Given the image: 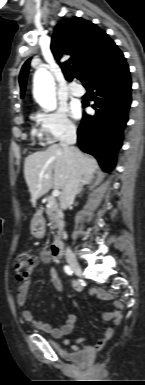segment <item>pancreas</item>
Segmentation results:
<instances>
[{
    "label": "pancreas",
    "mask_w": 145,
    "mask_h": 385,
    "mask_svg": "<svg viewBox=\"0 0 145 385\" xmlns=\"http://www.w3.org/2000/svg\"><path fill=\"white\" fill-rule=\"evenodd\" d=\"M47 206H46V213L50 221L54 224V228L61 229V226L63 224L62 221V215L59 211L58 204L56 203V200L53 197L48 198L47 200Z\"/></svg>",
    "instance_id": "cf45deb5"
}]
</instances>
